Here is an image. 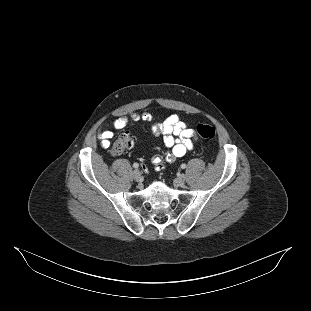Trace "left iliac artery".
I'll use <instances>...</instances> for the list:
<instances>
[{
    "instance_id": "left-iliac-artery-1",
    "label": "left iliac artery",
    "mask_w": 311,
    "mask_h": 311,
    "mask_svg": "<svg viewBox=\"0 0 311 311\" xmlns=\"http://www.w3.org/2000/svg\"><path fill=\"white\" fill-rule=\"evenodd\" d=\"M181 168L185 169L186 168V164H181Z\"/></svg>"
}]
</instances>
